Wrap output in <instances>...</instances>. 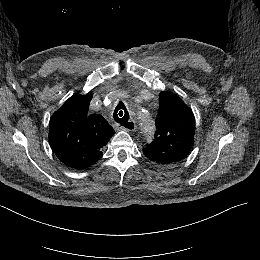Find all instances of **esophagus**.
Returning <instances> with one entry per match:
<instances>
[{"instance_id":"34e87169","label":"esophagus","mask_w":260,"mask_h":260,"mask_svg":"<svg viewBox=\"0 0 260 260\" xmlns=\"http://www.w3.org/2000/svg\"><path fill=\"white\" fill-rule=\"evenodd\" d=\"M120 129L125 131H134L136 129L135 121L132 119L129 120L125 126H120Z\"/></svg>"}]
</instances>
